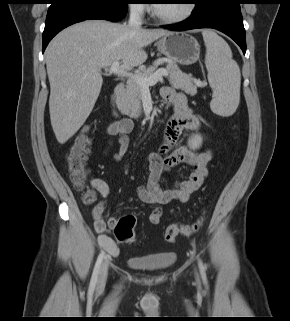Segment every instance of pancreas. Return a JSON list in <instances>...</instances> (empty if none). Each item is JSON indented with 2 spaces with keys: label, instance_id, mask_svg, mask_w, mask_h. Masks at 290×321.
Listing matches in <instances>:
<instances>
[{
  "label": "pancreas",
  "instance_id": "1",
  "mask_svg": "<svg viewBox=\"0 0 290 321\" xmlns=\"http://www.w3.org/2000/svg\"><path fill=\"white\" fill-rule=\"evenodd\" d=\"M162 64H166L165 69L168 72L169 82L172 87L181 89L191 96L196 95L197 80L191 75L183 73L178 65L171 60L159 58L153 62V65L147 68H140L137 74L149 77L155 72L157 66ZM141 90L142 87L133 78L128 79L125 93L117 100V107L121 113L132 118H137L141 115Z\"/></svg>",
  "mask_w": 290,
  "mask_h": 321
}]
</instances>
